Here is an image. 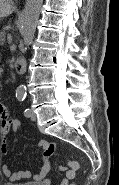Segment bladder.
<instances>
[{
  "label": "bladder",
  "mask_w": 119,
  "mask_h": 185,
  "mask_svg": "<svg viewBox=\"0 0 119 185\" xmlns=\"http://www.w3.org/2000/svg\"><path fill=\"white\" fill-rule=\"evenodd\" d=\"M4 185H43L37 182H24V183H6Z\"/></svg>",
  "instance_id": "1"
}]
</instances>
